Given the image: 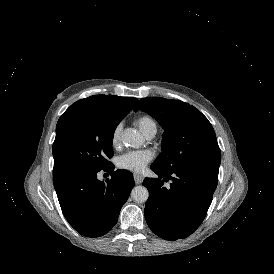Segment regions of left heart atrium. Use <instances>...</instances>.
<instances>
[{
	"instance_id": "39dd6f15",
	"label": "left heart atrium",
	"mask_w": 274,
	"mask_h": 274,
	"mask_svg": "<svg viewBox=\"0 0 274 274\" xmlns=\"http://www.w3.org/2000/svg\"><path fill=\"white\" fill-rule=\"evenodd\" d=\"M151 160L148 151H134L123 154L117 158V166L123 170L140 171Z\"/></svg>"
}]
</instances>
